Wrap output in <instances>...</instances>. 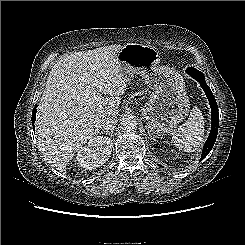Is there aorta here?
<instances>
[{"label": "aorta", "instance_id": "762f6f07", "mask_svg": "<svg viewBox=\"0 0 245 245\" xmlns=\"http://www.w3.org/2000/svg\"><path fill=\"white\" fill-rule=\"evenodd\" d=\"M121 126L124 131H133L137 128L136 118L132 115H127L121 119Z\"/></svg>", "mask_w": 245, "mask_h": 245}]
</instances>
